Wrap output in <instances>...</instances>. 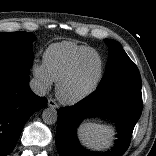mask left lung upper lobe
I'll return each instance as SVG.
<instances>
[{"mask_svg": "<svg viewBox=\"0 0 156 156\" xmlns=\"http://www.w3.org/2000/svg\"><path fill=\"white\" fill-rule=\"evenodd\" d=\"M104 42L109 48V57L105 74L97 89L111 85L141 87L139 70L122 46L117 41L111 39H105Z\"/></svg>", "mask_w": 156, "mask_h": 156, "instance_id": "1", "label": "left lung upper lobe"}]
</instances>
